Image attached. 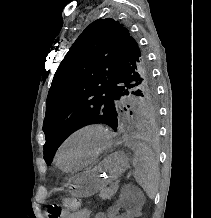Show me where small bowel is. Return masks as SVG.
<instances>
[{
	"mask_svg": "<svg viewBox=\"0 0 211 218\" xmlns=\"http://www.w3.org/2000/svg\"><path fill=\"white\" fill-rule=\"evenodd\" d=\"M139 212L124 202H117L105 212H98L92 216L89 209L83 208L75 212L74 218H136Z\"/></svg>",
	"mask_w": 211,
	"mask_h": 218,
	"instance_id": "obj_1",
	"label": "small bowel"
}]
</instances>
